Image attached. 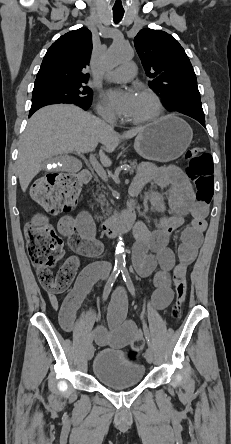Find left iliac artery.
<instances>
[{
	"mask_svg": "<svg viewBox=\"0 0 231 444\" xmlns=\"http://www.w3.org/2000/svg\"><path fill=\"white\" fill-rule=\"evenodd\" d=\"M121 272H122L123 279L127 285V288L129 289L130 293L134 296L135 295V288H134V285L131 281V278H130L127 270L123 267L121 269ZM143 328H144V334H145V338L147 340L148 346L151 347V337H150L148 328H147L144 320H143Z\"/></svg>",
	"mask_w": 231,
	"mask_h": 444,
	"instance_id": "44dca946",
	"label": "left iliac artery"
}]
</instances>
